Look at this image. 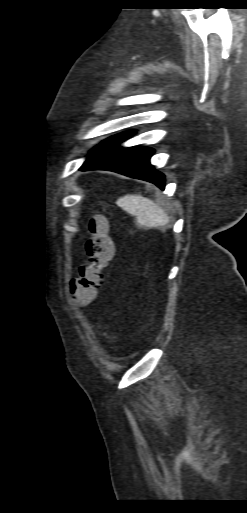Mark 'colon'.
<instances>
[{
  "instance_id": "obj_1",
  "label": "colon",
  "mask_w": 247,
  "mask_h": 513,
  "mask_svg": "<svg viewBox=\"0 0 247 513\" xmlns=\"http://www.w3.org/2000/svg\"><path fill=\"white\" fill-rule=\"evenodd\" d=\"M88 239L85 250L88 261L79 266L77 275L69 283L73 298L86 302L95 297L103 284V269L113 256V243L105 219L92 217L86 224Z\"/></svg>"
}]
</instances>
